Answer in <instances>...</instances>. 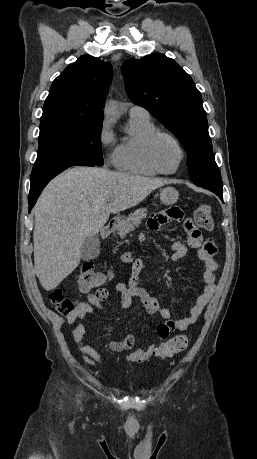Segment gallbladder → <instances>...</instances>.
I'll list each match as a JSON object with an SVG mask.
<instances>
[{"mask_svg":"<svg viewBox=\"0 0 257 459\" xmlns=\"http://www.w3.org/2000/svg\"><path fill=\"white\" fill-rule=\"evenodd\" d=\"M100 253V240L97 234L87 238L81 248L83 260L95 259Z\"/></svg>","mask_w":257,"mask_h":459,"instance_id":"bac80fb5","label":"gallbladder"}]
</instances>
